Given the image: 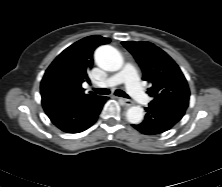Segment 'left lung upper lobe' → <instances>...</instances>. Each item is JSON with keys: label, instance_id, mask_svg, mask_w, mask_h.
Listing matches in <instances>:
<instances>
[{"label": "left lung upper lobe", "instance_id": "obj_1", "mask_svg": "<svg viewBox=\"0 0 222 187\" xmlns=\"http://www.w3.org/2000/svg\"><path fill=\"white\" fill-rule=\"evenodd\" d=\"M124 47L134 56L143 72V80L150 83L147 93L151 102L168 99L189 101L186 78L174 60L159 47L146 41H125Z\"/></svg>", "mask_w": 222, "mask_h": 187}]
</instances>
